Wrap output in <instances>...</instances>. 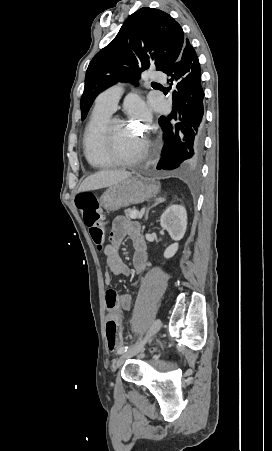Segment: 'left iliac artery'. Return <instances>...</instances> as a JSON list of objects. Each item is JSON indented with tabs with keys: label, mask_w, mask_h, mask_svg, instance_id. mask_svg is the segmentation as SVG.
<instances>
[{
	"label": "left iliac artery",
	"mask_w": 272,
	"mask_h": 451,
	"mask_svg": "<svg viewBox=\"0 0 272 451\" xmlns=\"http://www.w3.org/2000/svg\"><path fill=\"white\" fill-rule=\"evenodd\" d=\"M139 340L141 341V340H142V337H140ZM129 348H130L129 346L121 347V348L118 350V353H119V354H123V353L127 352V350H128Z\"/></svg>",
	"instance_id": "left-iliac-artery-1"
}]
</instances>
